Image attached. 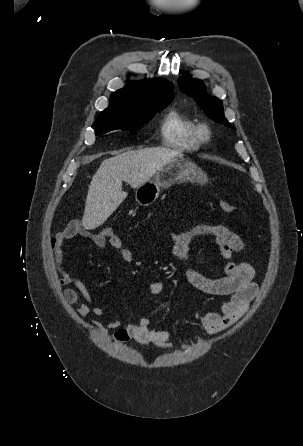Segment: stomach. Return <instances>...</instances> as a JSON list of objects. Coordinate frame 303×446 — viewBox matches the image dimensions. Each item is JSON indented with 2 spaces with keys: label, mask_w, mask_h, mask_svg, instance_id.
<instances>
[{
  "label": "stomach",
  "mask_w": 303,
  "mask_h": 446,
  "mask_svg": "<svg viewBox=\"0 0 303 446\" xmlns=\"http://www.w3.org/2000/svg\"><path fill=\"white\" fill-rule=\"evenodd\" d=\"M187 181L204 185L207 175L188 159L178 156L161 167L152 179L140 185L136 189L135 199L141 206H149L156 201L161 188Z\"/></svg>",
  "instance_id": "stomach-1"
}]
</instances>
